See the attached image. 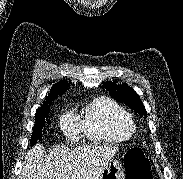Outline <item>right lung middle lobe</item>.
Segmentation results:
<instances>
[{"instance_id":"obj_1","label":"right lung middle lobe","mask_w":183,"mask_h":179,"mask_svg":"<svg viewBox=\"0 0 183 179\" xmlns=\"http://www.w3.org/2000/svg\"><path fill=\"white\" fill-rule=\"evenodd\" d=\"M50 106L46 105L38 108L35 115V125L33 127V133L31 137V145H34L38 139L42 138V129L46 124H50V120L47 118L50 114Z\"/></svg>"}]
</instances>
